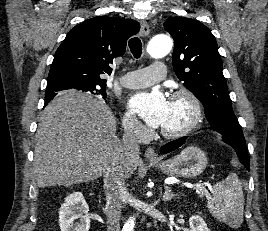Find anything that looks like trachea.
Here are the masks:
<instances>
[{"instance_id":"1","label":"trachea","mask_w":268,"mask_h":231,"mask_svg":"<svg viewBox=\"0 0 268 231\" xmlns=\"http://www.w3.org/2000/svg\"><path fill=\"white\" fill-rule=\"evenodd\" d=\"M129 48L135 58H139L142 54V42L138 37L129 40Z\"/></svg>"}]
</instances>
